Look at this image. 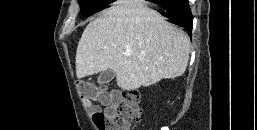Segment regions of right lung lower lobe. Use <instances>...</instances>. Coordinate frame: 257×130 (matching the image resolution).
Listing matches in <instances>:
<instances>
[{
	"mask_svg": "<svg viewBox=\"0 0 257 130\" xmlns=\"http://www.w3.org/2000/svg\"><path fill=\"white\" fill-rule=\"evenodd\" d=\"M155 4L163 9L162 15L167 17L170 23L185 28L191 35L193 16L187 0H163Z\"/></svg>",
	"mask_w": 257,
	"mask_h": 130,
	"instance_id": "obj_1",
	"label": "right lung lower lobe"
}]
</instances>
